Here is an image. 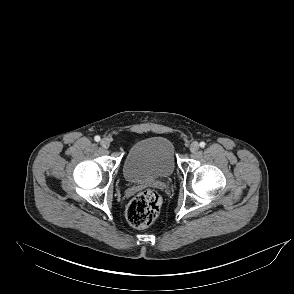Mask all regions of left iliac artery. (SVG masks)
Returning a JSON list of instances; mask_svg holds the SVG:
<instances>
[{
	"instance_id": "1",
	"label": "left iliac artery",
	"mask_w": 294,
	"mask_h": 294,
	"mask_svg": "<svg viewBox=\"0 0 294 294\" xmlns=\"http://www.w3.org/2000/svg\"><path fill=\"white\" fill-rule=\"evenodd\" d=\"M199 145H200V147H201V148H204V147H205V145H206V143H205V142H200V144H199Z\"/></svg>"
}]
</instances>
